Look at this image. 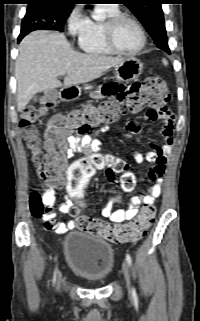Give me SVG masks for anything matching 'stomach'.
Listing matches in <instances>:
<instances>
[{
  "label": "stomach",
  "instance_id": "0dacf381",
  "mask_svg": "<svg viewBox=\"0 0 200 321\" xmlns=\"http://www.w3.org/2000/svg\"><path fill=\"white\" fill-rule=\"evenodd\" d=\"M115 70V78L116 80H122V81H132L137 79L143 70V64L142 62L135 58V57H129L126 59H123L122 62H120L118 65L114 67ZM85 89L91 88L90 85H85ZM82 88L79 86H71V87H65L60 92V97L64 100H76L81 95Z\"/></svg>",
  "mask_w": 200,
  "mask_h": 321
}]
</instances>
